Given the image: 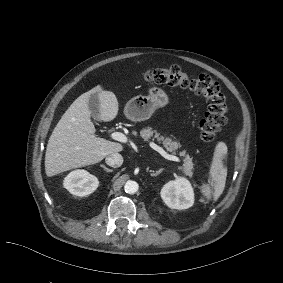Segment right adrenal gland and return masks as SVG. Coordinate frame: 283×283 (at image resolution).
<instances>
[{
  "label": "right adrenal gland",
  "mask_w": 283,
  "mask_h": 283,
  "mask_svg": "<svg viewBox=\"0 0 283 283\" xmlns=\"http://www.w3.org/2000/svg\"><path fill=\"white\" fill-rule=\"evenodd\" d=\"M100 166L107 172H112V169L107 168L104 164H100Z\"/></svg>",
  "instance_id": "2a0ac1e0"
}]
</instances>
